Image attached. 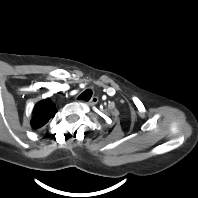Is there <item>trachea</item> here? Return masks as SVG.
<instances>
[{"label": "trachea", "mask_w": 198, "mask_h": 198, "mask_svg": "<svg viewBox=\"0 0 198 198\" xmlns=\"http://www.w3.org/2000/svg\"><path fill=\"white\" fill-rule=\"evenodd\" d=\"M91 97H92V90L88 89V90L84 91L83 93H81L77 99L89 101Z\"/></svg>", "instance_id": "obj_1"}]
</instances>
